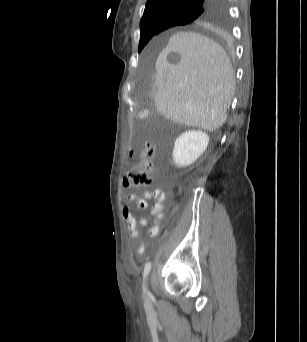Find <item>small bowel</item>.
Returning <instances> with one entry per match:
<instances>
[{"label":"small bowel","mask_w":307,"mask_h":342,"mask_svg":"<svg viewBox=\"0 0 307 342\" xmlns=\"http://www.w3.org/2000/svg\"><path fill=\"white\" fill-rule=\"evenodd\" d=\"M128 200L135 203L139 210H145L148 208L149 201L154 200L155 203L152 206L151 212L155 219L153 225L149 228L148 234L151 237L156 236L160 229V219L163 215L165 194L160 189H154L147 191L143 198H140L134 194L128 196ZM124 217L128 224L129 235L132 239L136 240L139 237L138 227H144L146 220L144 218H136L130 211H124ZM147 249V243L142 241L138 246L134 248L136 253L142 254Z\"/></svg>","instance_id":"obj_1"}]
</instances>
